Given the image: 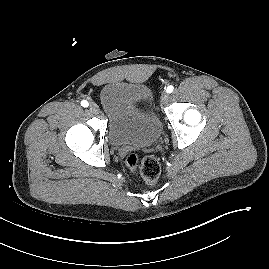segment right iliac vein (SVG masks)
Wrapping results in <instances>:
<instances>
[{
    "label": "right iliac vein",
    "instance_id": "1",
    "mask_svg": "<svg viewBox=\"0 0 269 269\" xmlns=\"http://www.w3.org/2000/svg\"><path fill=\"white\" fill-rule=\"evenodd\" d=\"M89 110H90L92 113H95V114L99 113V107H98V105H97L96 103H94V102L90 103V105H89Z\"/></svg>",
    "mask_w": 269,
    "mask_h": 269
}]
</instances>
